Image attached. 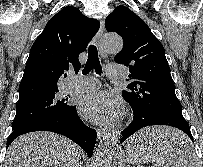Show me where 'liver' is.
<instances>
[{"mask_svg":"<svg viewBox=\"0 0 203 167\" xmlns=\"http://www.w3.org/2000/svg\"><path fill=\"white\" fill-rule=\"evenodd\" d=\"M130 138L133 144L147 137L184 138L170 128H148ZM3 167H81V152L71 140L49 132H32L15 139L7 150Z\"/></svg>","mask_w":203,"mask_h":167,"instance_id":"6515ba94","label":"liver"}]
</instances>
